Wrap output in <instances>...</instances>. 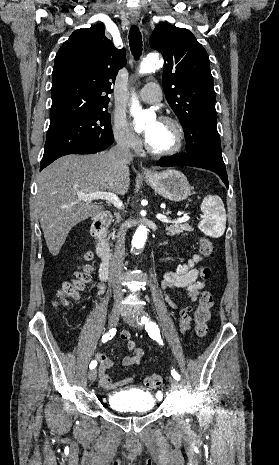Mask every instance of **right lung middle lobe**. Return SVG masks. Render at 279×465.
<instances>
[{"mask_svg":"<svg viewBox=\"0 0 279 465\" xmlns=\"http://www.w3.org/2000/svg\"><path fill=\"white\" fill-rule=\"evenodd\" d=\"M104 108L106 107L50 124L41 164L82 146L111 145L114 137L110 114Z\"/></svg>","mask_w":279,"mask_h":465,"instance_id":"1","label":"right lung middle lobe"}]
</instances>
